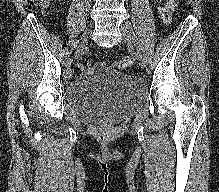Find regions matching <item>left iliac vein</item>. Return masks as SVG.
Listing matches in <instances>:
<instances>
[{"label":"left iliac vein","instance_id":"4c4485c4","mask_svg":"<svg viewBox=\"0 0 219 192\" xmlns=\"http://www.w3.org/2000/svg\"><path fill=\"white\" fill-rule=\"evenodd\" d=\"M120 29H121L124 41L127 42L128 44H131L133 40V30L131 26L129 24H122L120 26ZM135 56L137 57L141 68H144L146 66V60H145L144 55L139 51H135Z\"/></svg>","mask_w":219,"mask_h":192}]
</instances>
